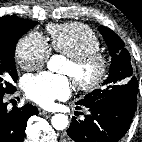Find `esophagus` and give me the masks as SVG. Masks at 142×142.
I'll use <instances>...</instances> for the list:
<instances>
[{"mask_svg":"<svg viewBox=\"0 0 142 142\" xmlns=\"http://www.w3.org/2000/svg\"><path fill=\"white\" fill-rule=\"evenodd\" d=\"M39 114L40 115H50L51 113L42 109H39Z\"/></svg>","mask_w":142,"mask_h":142,"instance_id":"obj_1","label":"esophagus"}]
</instances>
